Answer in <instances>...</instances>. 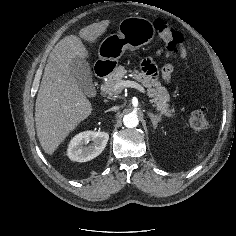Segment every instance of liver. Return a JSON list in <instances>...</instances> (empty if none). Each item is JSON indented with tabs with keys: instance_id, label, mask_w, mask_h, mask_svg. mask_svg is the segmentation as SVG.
Segmentation results:
<instances>
[{
	"instance_id": "1",
	"label": "liver",
	"mask_w": 236,
	"mask_h": 236,
	"mask_svg": "<svg viewBox=\"0 0 236 236\" xmlns=\"http://www.w3.org/2000/svg\"><path fill=\"white\" fill-rule=\"evenodd\" d=\"M109 23V20H103L86 26L79 31V36L94 43L106 31ZM80 38L66 36L55 45L38 91L35 125L39 142L48 155H52L69 133L93 111L92 104L70 71L75 57H88Z\"/></svg>"
}]
</instances>
